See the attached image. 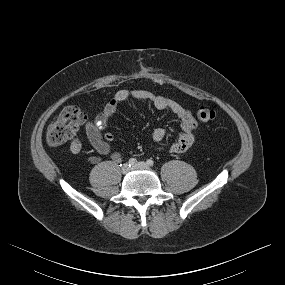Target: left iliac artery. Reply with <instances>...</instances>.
<instances>
[{
    "mask_svg": "<svg viewBox=\"0 0 285 285\" xmlns=\"http://www.w3.org/2000/svg\"><path fill=\"white\" fill-rule=\"evenodd\" d=\"M146 164L149 165V166H153V165H154V161L151 160V159H148V160L146 161Z\"/></svg>",
    "mask_w": 285,
    "mask_h": 285,
    "instance_id": "44dca946",
    "label": "left iliac artery"
}]
</instances>
